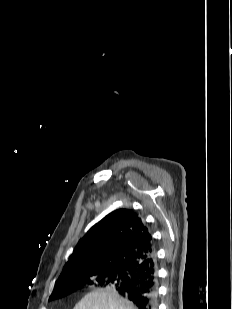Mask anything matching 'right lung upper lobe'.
Wrapping results in <instances>:
<instances>
[{"label": "right lung upper lobe", "mask_w": 232, "mask_h": 309, "mask_svg": "<svg viewBox=\"0 0 232 309\" xmlns=\"http://www.w3.org/2000/svg\"><path fill=\"white\" fill-rule=\"evenodd\" d=\"M153 255V239L142 219L133 210L118 209L80 239L56 284L93 270L128 272Z\"/></svg>", "instance_id": "right-lung-upper-lobe-1"}]
</instances>
